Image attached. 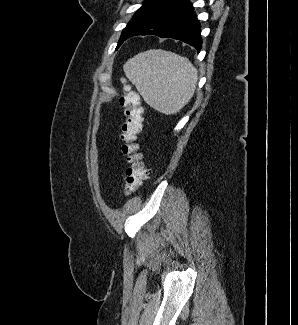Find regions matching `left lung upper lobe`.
Wrapping results in <instances>:
<instances>
[{"mask_svg": "<svg viewBox=\"0 0 298 325\" xmlns=\"http://www.w3.org/2000/svg\"><path fill=\"white\" fill-rule=\"evenodd\" d=\"M161 0H145L142 7L135 13L131 21L124 28L120 37L119 43L122 44L127 38L131 29L148 13L150 12Z\"/></svg>", "mask_w": 298, "mask_h": 325, "instance_id": "5c2ea615", "label": "left lung upper lobe"}]
</instances>
